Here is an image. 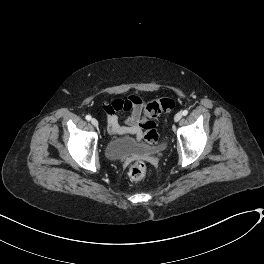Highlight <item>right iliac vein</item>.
Here are the masks:
<instances>
[{
	"label": "right iliac vein",
	"instance_id": "obj_1",
	"mask_svg": "<svg viewBox=\"0 0 264 264\" xmlns=\"http://www.w3.org/2000/svg\"><path fill=\"white\" fill-rule=\"evenodd\" d=\"M91 123L95 127H98V125H99L98 121L95 118L91 119Z\"/></svg>",
	"mask_w": 264,
	"mask_h": 264
}]
</instances>
